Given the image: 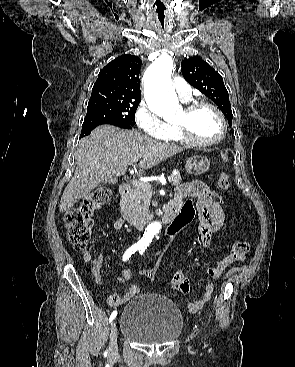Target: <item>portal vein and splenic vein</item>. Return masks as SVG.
<instances>
[{"mask_svg":"<svg viewBox=\"0 0 295 367\" xmlns=\"http://www.w3.org/2000/svg\"><path fill=\"white\" fill-rule=\"evenodd\" d=\"M137 160H138V159L133 160V161L131 162V164L135 163ZM172 179H173V177H172V176H169V177H168V181H169V182H171V181H172ZM132 184H133V185H135V186H142L143 182L138 181V180H132Z\"/></svg>","mask_w":295,"mask_h":367,"instance_id":"portal-vein-and-splenic-vein-1","label":"portal vein and splenic vein"}]
</instances>
